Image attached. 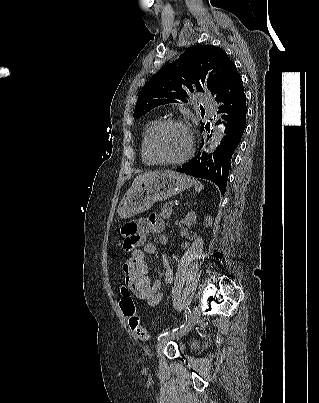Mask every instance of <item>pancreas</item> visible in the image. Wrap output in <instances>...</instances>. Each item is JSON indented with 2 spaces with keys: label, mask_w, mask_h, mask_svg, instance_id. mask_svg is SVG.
<instances>
[{
  "label": "pancreas",
  "mask_w": 319,
  "mask_h": 403,
  "mask_svg": "<svg viewBox=\"0 0 319 403\" xmlns=\"http://www.w3.org/2000/svg\"><path fill=\"white\" fill-rule=\"evenodd\" d=\"M172 211H173L172 206L169 207L167 205H164L160 211V216L164 219H169L170 215L172 214Z\"/></svg>",
  "instance_id": "pancreas-1"
}]
</instances>
